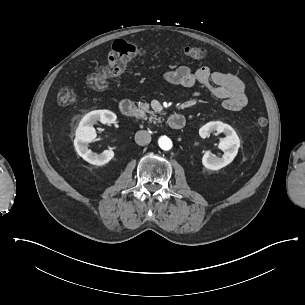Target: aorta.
<instances>
[{
	"mask_svg": "<svg viewBox=\"0 0 305 305\" xmlns=\"http://www.w3.org/2000/svg\"><path fill=\"white\" fill-rule=\"evenodd\" d=\"M159 147L165 151H168L172 148V141L167 136H161L158 139Z\"/></svg>",
	"mask_w": 305,
	"mask_h": 305,
	"instance_id": "aorta-1",
	"label": "aorta"
}]
</instances>
